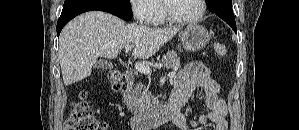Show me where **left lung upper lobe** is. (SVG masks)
<instances>
[{"label":"left lung upper lobe","instance_id":"1","mask_svg":"<svg viewBox=\"0 0 299 130\" xmlns=\"http://www.w3.org/2000/svg\"><path fill=\"white\" fill-rule=\"evenodd\" d=\"M206 2H207V5H210L213 2V0H206ZM230 2H232V1L230 0Z\"/></svg>","mask_w":299,"mask_h":130}]
</instances>
